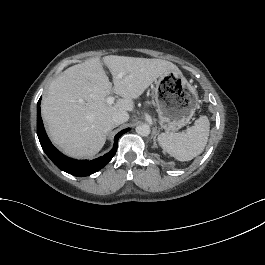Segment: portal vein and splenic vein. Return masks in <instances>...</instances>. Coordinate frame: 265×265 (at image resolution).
<instances>
[{
    "mask_svg": "<svg viewBox=\"0 0 265 265\" xmlns=\"http://www.w3.org/2000/svg\"><path fill=\"white\" fill-rule=\"evenodd\" d=\"M122 76H123L122 74H118V75H117V78H121ZM115 100H116V97H114V96H109V97L107 98V102H108L109 104H113Z\"/></svg>",
    "mask_w": 265,
    "mask_h": 265,
    "instance_id": "portal-vein-and-splenic-vein-1",
    "label": "portal vein and splenic vein"
}]
</instances>
